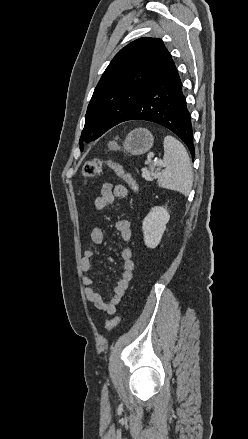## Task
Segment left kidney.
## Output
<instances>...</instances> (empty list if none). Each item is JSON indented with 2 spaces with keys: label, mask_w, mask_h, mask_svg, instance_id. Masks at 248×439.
<instances>
[{
  "label": "left kidney",
  "mask_w": 248,
  "mask_h": 439,
  "mask_svg": "<svg viewBox=\"0 0 248 439\" xmlns=\"http://www.w3.org/2000/svg\"><path fill=\"white\" fill-rule=\"evenodd\" d=\"M170 219L167 206H156L150 210L143 220L144 242L148 248H156L161 241L166 224Z\"/></svg>",
  "instance_id": "1"
}]
</instances>
